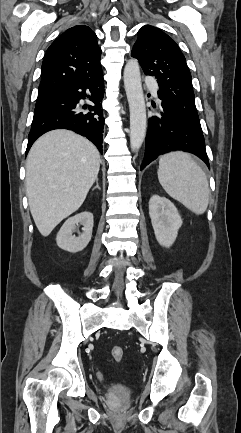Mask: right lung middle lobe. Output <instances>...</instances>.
Here are the masks:
<instances>
[{
  "instance_id": "dd1d6c3e",
  "label": "right lung middle lobe",
  "mask_w": 241,
  "mask_h": 433,
  "mask_svg": "<svg viewBox=\"0 0 241 433\" xmlns=\"http://www.w3.org/2000/svg\"><path fill=\"white\" fill-rule=\"evenodd\" d=\"M50 95H39L36 101V106L40 105L41 103L45 102Z\"/></svg>"
}]
</instances>
